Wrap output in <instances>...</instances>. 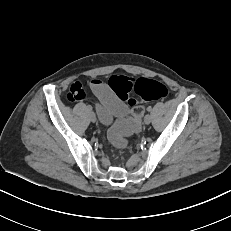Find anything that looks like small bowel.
Instances as JSON below:
<instances>
[{"mask_svg": "<svg viewBox=\"0 0 231 231\" xmlns=\"http://www.w3.org/2000/svg\"><path fill=\"white\" fill-rule=\"evenodd\" d=\"M89 86L98 100L96 108L103 123L109 124L114 117H124L129 114V108L115 95L108 85L100 80L93 79L89 82ZM68 97L72 101L84 99L85 93L79 81L71 85Z\"/></svg>", "mask_w": 231, "mask_h": 231, "instance_id": "small-bowel-1", "label": "small bowel"}]
</instances>
